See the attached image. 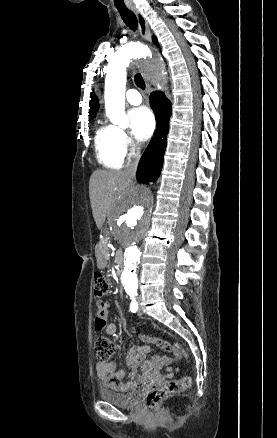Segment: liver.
Returning <instances> with one entry per match:
<instances>
[{"mask_svg": "<svg viewBox=\"0 0 277 438\" xmlns=\"http://www.w3.org/2000/svg\"><path fill=\"white\" fill-rule=\"evenodd\" d=\"M131 184L125 172L121 170H95L90 182V202L93 212V218L97 228H102L107 214H109L112 205H117V194L119 188H128ZM116 192V198L114 194Z\"/></svg>", "mask_w": 277, "mask_h": 438, "instance_id": "liver-1", "label": "liver"}]
</instances>
